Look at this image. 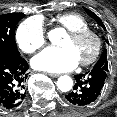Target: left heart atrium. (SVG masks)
<instances>
[{
	"label": "left heart atrium",
	"mask_w": 117,
	"mask_h": 117,
	"mask_svg": "<svg viewBox=\"0 0 117 117\" xmlns=\"http://www.w3.org/2000/svg\"><path fill=\"white\" fill-rule=\"evenodd\" d=\"M79 59L70 47H48L32 59L35 69L46 72H64L74 69Z\"/></svg>",
	"instance_id": "1"
}]
</instances>
